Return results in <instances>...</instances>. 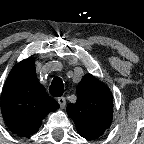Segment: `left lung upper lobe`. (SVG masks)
<instances>
[{"label": "left lung upper lobe", "mask_w": 144, "mask_h": 144, "mask_svg": "<svg viewBox=\"0 0 144 144\" xmlns=\"http://www.w3.org/2000/svg\"><path fill=\"white\" fill-rule=\"evenodd\" d=\"M77 102L67 105V113L76 124L80 136L100 137L111 125L113 97L109 88L87 74L77 87Z\"/></svg>", "instance_id": "1"}]
</instances>
